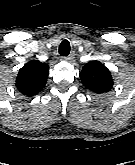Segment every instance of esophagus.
Here are the masks:
<instances>
[{
	"label": "esophagus",
	"instance_id": "1",
	"mask_svg": "<svg viewBox=\"0 0 135 165\" xmlns=\"http://www.w3.org/2000/svg\"><path fill=\"white\" fill-rule=\"evenodd\" d=\"M74 56H75V53L72 52L70 55L64 56L63 59H64L65 61H72L73 58H74Z\"/></svg>",
	"mask_w": 135,
	"mask_h": 165
}]
</instances>
